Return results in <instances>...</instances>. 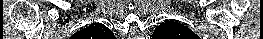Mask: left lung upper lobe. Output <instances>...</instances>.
<instances>
[{"mask_svg": "<svg viewBox=\"0 0 263 39\" xmlns=\"http://www.w3.org/2000/svg\"><path fill=\"white\" fill-rule=\"evenodd\" d=\"M153 39H200L192 30L181 23L166 20L155 28Z\"/></svg>", "mask_w": 263, "mask_h": 39, "instance_id": "obj_1", "label": "left lung upper lobe"}]
</instances>
